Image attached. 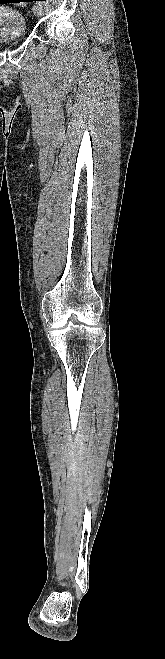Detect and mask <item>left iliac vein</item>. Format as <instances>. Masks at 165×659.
Listing matches in <instances>:
<instances>
[{
	"label": "left iliac vein",
	"instance_id": "left-iliac-vein-1",
	"mask_svg": "<svg viewBox=\"0 0 165 659\" xmlns=\"http://www.w3.org/2000/svg\"><path fill=\"white\" fill-rule=\"evenodd\" d=\"M33 12H34L35 16H37V17H42V16H43V8H42V6L39 5V3L36 4V5H34V7H33Z\"/></svg>",
	"mask_w": 165,
	"mask_h": 659
}]
</instances>
